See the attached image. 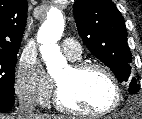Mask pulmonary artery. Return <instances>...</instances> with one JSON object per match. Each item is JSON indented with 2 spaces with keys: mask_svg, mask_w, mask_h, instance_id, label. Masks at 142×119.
<instances>
[{
  "mask_svg": "<svg viewBox=\"0 0 142 119\" xmlns=\"http://www.w3.org/2000/svg\"><path fill=\"white\" fill-rule=\"evenodd\" d=\"M61 45L63 52L69 59L76 60L80 58L82 50L77 41H75L74 39H64Z\"/></svg>",
  "mask_w": 142,
  "mask_h": 119,
  "instance_id": "1",
  "label": "pulmonary artery"
}]
</instances>
